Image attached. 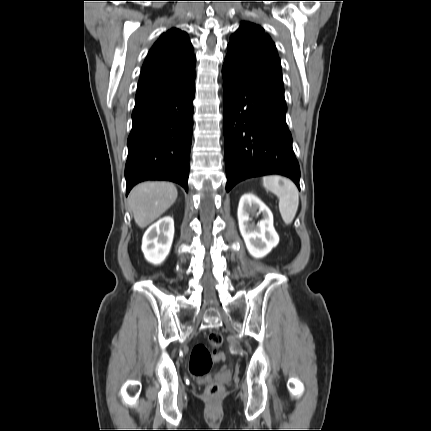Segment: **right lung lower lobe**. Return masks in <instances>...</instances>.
Masks as SVG:
<instances>
[{
	"label": "right lung lower lobe",
	"mask_w": 431,
	"mask_h": 431,
	"mask_svg": "<svg viewBox=\"0 0 431 431\" xmlns=\"http://www.w3.org/2000/svg\"><path fill=\"white\" fill-rule=\"evenodd\" d=\"M194 93L195 78L168 97L134 108L126 195L145 180H169L188 191Z\"/></svg>",
	"instance_id": "right-lung-lower-lobe-1"
}]
</instances>
